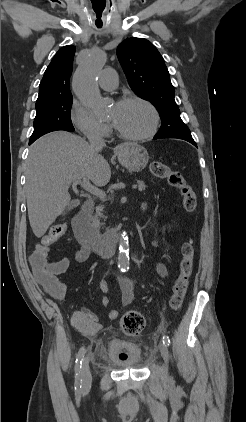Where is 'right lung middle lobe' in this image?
Wrapping results in <instances>:
<instances>
[{
	"label": "right lung middle lobe",
	"mask_w": 246,
	"mask_h": 422,
	"mask_svg": "<svg viewBox=\"0 0 246 422\" xmlns=\"http://www.w3.org/2000/svg\"><path fill=\"white\" fill-rule=\"evenodd\" d=\"M72 102V97H66L46 106L36 108L34 131L29 142H34L42 135L52 131L64 130L73 132L74 127L70 117Z\"/></svg>",
	"instance_id": "dd1d6c3e"
}]
</instances>
